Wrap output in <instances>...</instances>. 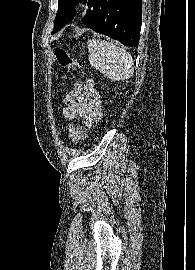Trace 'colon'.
<instances>
[{"label": "colon", "instance_id": "colon-1", "mask_svg": "<svg viewBox=\"0 0 195 270\" xmlns=\"http://www.w3.org/2000/svg\"><path fill=\"white\" fill-rule=\"evenodd\" d=\"M56 61L58 65L69 70L73 67H80V64L69 54L64 48H56L54 51ZM81 93V84L74 83L72 90L66 97L67 104H71L78 99ZM73 134L75 141H83L86 139V131L81 125H73Z\"/></svg>", "mask_w": 195, "mask_h": 270}]
</instances>
